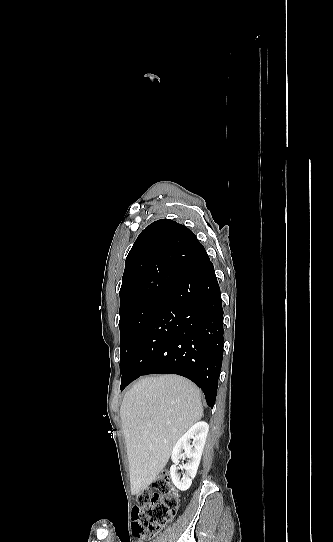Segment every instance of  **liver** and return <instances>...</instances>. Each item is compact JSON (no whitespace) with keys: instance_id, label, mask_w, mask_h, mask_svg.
Returning <instances> with one entry per match:
<instances>
[{"instance_id":"liver-1","label":"liver","mask_w":333,"mask_h":542,"mask_svg":"<svg viewBox=\"0 0 333 542\" xmlns=\"http://www.w3.org/2000/svg\"><path fill=\"white\" fill-rule=\"evenodd\" d=\"M202 416L200 390L182 376H146L126 392L120 418L132 496L149 488L177 440Z\"/></svg>"}]
</instances>
